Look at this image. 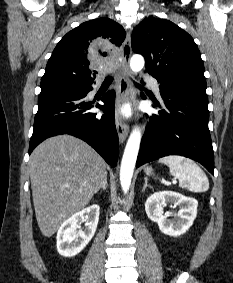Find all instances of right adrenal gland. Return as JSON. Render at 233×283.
<instances>
[{"label": "right adrenal gland", "instance_id": "1", "mask_svg": "<svg viewBox=\"0 0 233 283\" xmlns=\"http://www.w3.org/2000/svg\"><path fill=\"white\" fill-rule=\"evenodd\" d=\"M107 186H108V182H107V173H106L104 180L102 181V183L100 184V186L98 187L95 193H97L101 189L106 190Z\"/></svg>", "mask_w": 233, "mask_h": 283}]
</instances>
